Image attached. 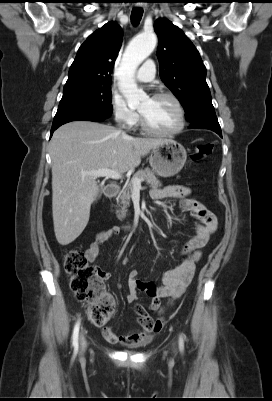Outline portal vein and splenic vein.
Instances as JSON below:
<instances>
[{
  "instance_id": "1",
  "label": "portal vein and splenic vein",
  "mask_w": 272,
  "mask_h": 401,
  "mask_svg": "<svg viewBox=\"0 0 272 401\" xmlns=\"http://www.w3.org/2000/svg\"><path fill=\"white\" fill-rule=\"evenodd\" d=\"M81 174H82V176H93L95 178L107 177V178H111L114 180H119L122 178L121 173L111 170V169H108V168H102V169L94 170V171H83ZM141 182H142V179H139V178L133 179L132 180L133 187L140 189Z\"/></svg>"
}]
</instances>
